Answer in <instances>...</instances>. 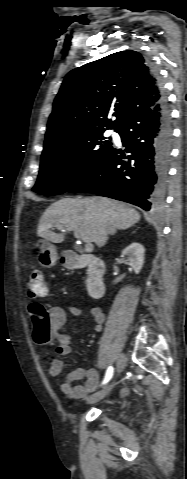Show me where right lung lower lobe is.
Instances as JSON below:
<instances>
[{"label":"right lung lower lobe","mask_w":187,"mask_h":479,"mask_svg":"<svg viewBox=\"0 0 187 479\" xmlns=\"http://www.w3.org/2000/svg\"><path fill=\"white\" fill-rule=\"evenodd\" d=\"M161 99L152 108L133 112L116 129L125 156L112 148L69 192H89L125 201L149 211L162 206L172 145L168 101L158 74Z\"/></svg>","instance_id":"1"}]
</instances>
